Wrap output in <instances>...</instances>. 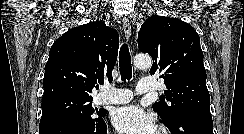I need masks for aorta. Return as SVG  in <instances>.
<instances>
[{"mask_svg":"<svg viewBox=\"0 0 244 134\" xmlns=\"http://www.w3.org/2000/svg\"><path fill=\"white\" fill-rule=\"evenodd\" d=\"M134 65L139 69H147L152 65V59L148 55H136L134 58Z\"/></svg>","mask_w":244,"mask_h":134,"instance_id":"obj_1","label":"aorta"}]
</instances>
